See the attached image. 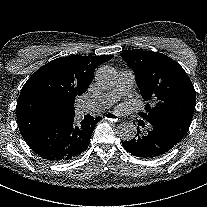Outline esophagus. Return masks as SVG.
Listing matches in <instances>:
<instances>
[{
    "label": "esophagus",
    "mask_w": 207,
    "mask_h": 207,
    "mask_svg": "<svg viewBox=\"0 0 207 207\" xmlns=\"http://www.w3.org/2000/svg\"><path fill=\"white\" fill-rule=\"evenodd\" d=\"M104 118L109 121H118V116L115 113L108 112L104 115Z\"/></svg>",
    "instance_id": "1"
}]
</instances>
